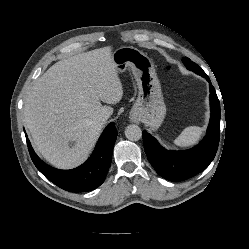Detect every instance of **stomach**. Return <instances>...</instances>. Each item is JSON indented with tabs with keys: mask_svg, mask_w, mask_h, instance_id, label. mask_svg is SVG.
Listing matches in <instances>:
<instances>
[{
	"mask_svg": "<svg viewBox=\"0 0 249 249\" xmlns=\"http://www.w3.org/2000/svg\"><path fill=\"white\" fill-rule=\"evenodd\" d=\"M112 61L119 73L131 68L137 82L139 92L131 118L157 129L165 118L166 106L152 60L134 47H120L112 53Z\"/></svg>",
	"mask_w": 249,
	"mask_h": 249,
	"instance_id": "obj_1",
	"label": "stomach"
}]
</instances>
